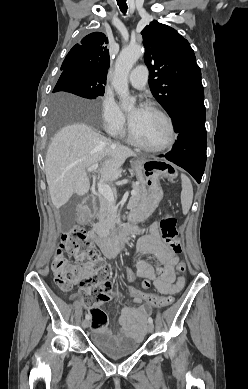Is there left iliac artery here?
<instances>
[{
	"mask_svg": "<svg viewBox=\"0 0 248 389\" xmlns=\"http://www.w3.org/2000/svg\"><path fill=\"white\" fill-rule=\"evenodd\" d=\"M148 322L152 324L153 323V319L151 317H149Z\"/></svg>",
	"mask_w": 248,
	"mask_h": 389,
	"instance_id": "44dca946",
	"label": "left iliac artery"
}]
</instances>
